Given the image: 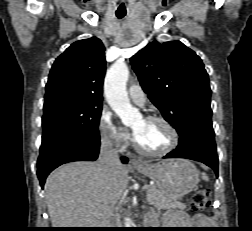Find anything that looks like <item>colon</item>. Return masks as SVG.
Wrapping results in <instances>:
<instances>
[{
	"label": "colon",
	"instance_id": "5ec220e1",
	"mask_svg": "<svg viewBox=\"0 0 252 231\" xmlns=\"http://www.w3.org/2000/svg\"><path fill=\"white\" fill-rule=\"evenodd\" d=\"M211 192L209 189L197 190L190 203V209L194 212L205 210L210 206Z\"/></svg>",
	"mask_w": 252,
	"mask_h": 231
}]
</instances>
